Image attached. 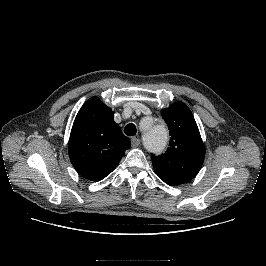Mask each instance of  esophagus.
I'll list each match as a JSON object with an SVG mask.
<instances>
[{"label":"esophagus","instance_id":"obj_1","mask_svg":"<svg viewBox=\"0 0 266 266\" xmlns=\"http://www.w3.org/2000/svg\"><path fill=\"white\" fill-rule=\"evenodd\" d=\"M131 144H132V147H137V146H139V144H140V139H139V138H136V137H133V138L131 139Z\"/></svg>","mask_w":266,"mask_h":266}]
</instances>
